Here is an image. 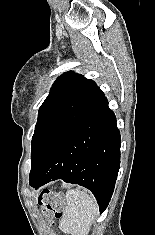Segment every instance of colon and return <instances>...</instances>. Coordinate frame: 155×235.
Segmentation results:
<instances>
[{"label": "colon", "mask_w": 155, "mask_h": 235, "mask_svg": "<svg viewBox=\"0 0 155 235\" xmlns=\"http://www.w3.org/2000/svg\"><path fill=\"white\" fill-rule=\"evenodd\" d=\"M38 203L42 206L44 214L55 217L62 215L60 198L49 190H45L39 194Z\"/></svg>", "instance_id": "5ec220e1"}]
</instances>
